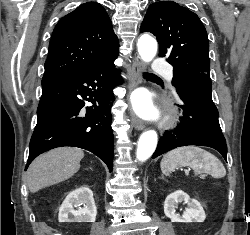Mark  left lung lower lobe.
I'll return each mask as SVG.
<instances>
[{
    "label": "left lung lower lobe",
    "mask_w": 250,
    "mask_h": 235,
    "mask_svg": "<svg viewBox=\"0 0 250 235\" xmlns=\"http://www.w3.org/2000/svg\"><path fill=\"white\" fill-rule=\"evenodd\" d=\"M175 88L183 101L181 123L173 134L165 132L152 158L176 147L208 146L219 151L227 161V145L218 121V110L212 101L208 74H190L181 78Z\"/></svg>",
    "instance_id": "0a47b994"
}]
</instances>
